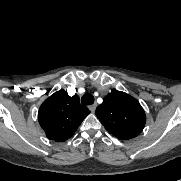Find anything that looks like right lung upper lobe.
<instances>
[{"mask_svg": "<svg viewBox=\"0 0 181 181\" xmlns=\"http://www.w3.org/2000/svg\"><path fill=\"white\" fill-rule=\"evenodd\" d=\"M89 113V109L80 104L78 96L70 97L66 91L59 90L41 104L38 121L48 139L64 142Z\"/></svg>", "mask_w": 181, "mask_h": 181, "instance_id": "cb5924a9", "label": "right lung upper lobe"}]
</instances>
